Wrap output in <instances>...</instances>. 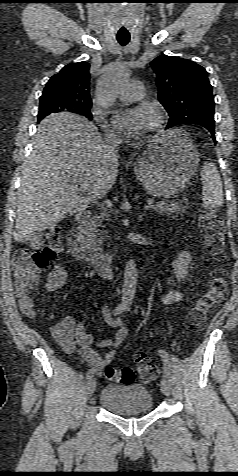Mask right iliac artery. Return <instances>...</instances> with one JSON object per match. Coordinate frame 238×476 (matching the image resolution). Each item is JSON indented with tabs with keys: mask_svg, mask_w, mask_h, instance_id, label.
<instances>
[{
	"mask_svg": "<svg viewBox=\"0 0 238 476\" xmlns=\"http://www.w3.org/2000/svg\"><path fill=\"white\" fill-rule=\"evenodd\" d=\"M126 309V307L124 305H119L115 308V310L113 311V315L116 316L120 313H122L124 310ZM93 371L92 370H89L87 373H86V379H91L93 377Z\"/></svg>",
	"mask_w": 238,
	"mask_h": 476,
	"instance_id": "obj_1",
	"label": "right iliac artery"
}]
</instances>
